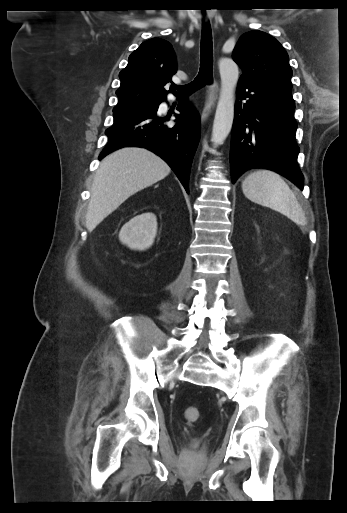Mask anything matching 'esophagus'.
Instances as JSON below:
<instances>
[{
  "instance_id": "obj_1",
  "label": "esophagus",
  "mask_w": 347,
  "mask_h": 513,
  "mask_svg": "<svg viewBox=\"0 0 347 513\" xmlns=\"http://www.w3.org/2000/svg\"><path fill=\"white\" fill-rule=\"evenodd\" d=\"M219 93V84L214 80L211 84L207 85L205 92V102L202 112V120H206L208 115L214 109Z\"/></svg>"
}]
</instances>
